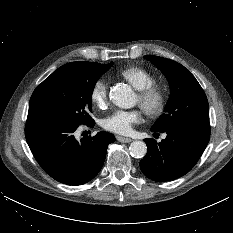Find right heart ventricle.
Returning <instances> with one entry per match:
<instances>
[{
  "mask_svg": "<svg viewBox=\"0 0 233 233\" xmlns=\"http://www.w3.org/2000/svg\"><path fill=\"white\" fill-rule=\"evenodd\" d=\"M120 75L138 90L153 86L156 83L154 76L140 67L127 68L123 70Z\"/></svg>",
  "mask_w": 233,
  "mask_h": 233,
  "instance_id": "1",
  "label": "right heart ventricle"
}]
</instances>
